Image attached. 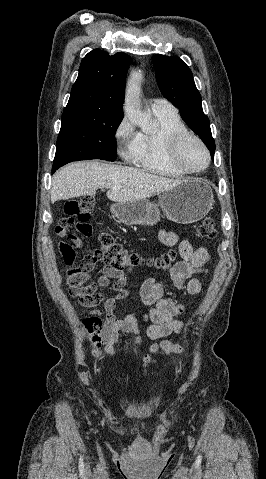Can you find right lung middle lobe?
<instances>
[{"mask_svg": "<svg viewBox=\"0 0 266 479\" xmlns=\"http://www.w3.org/2000/svg\"><path fill=\"white\" fill-rule=\"evenodd\" d=\"M122 119L116 115H62L54 162L114 161L115 132Z\"/></svg>", "mask_w": 266, "mask_h": 479, "instance_id": "obj_1", "label": "right lung middle lobe"}]
</instances>
